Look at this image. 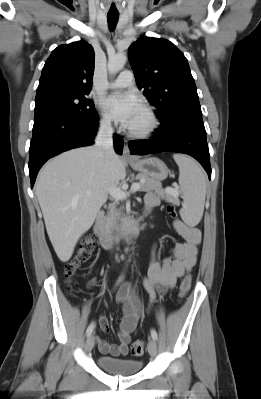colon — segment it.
<instances>
[{"instance_id":"colon-1","label":"colon","mask_w":261,"mask_h":399,"mask_svg":"<svg viewBox=\"0 0 261 399\" xmlns=\"http://www.w3.org/2000/svg\"><path fill=\"white\" fill-rule=\"evenodd\" d=\"M166 210L170 217L175 218L177 216V212L174 206L168 205ZM94 250H95V238L93 236H89L83 241L75 257L66 265L65 267L66 277L67 278L73 277L75 273L78 271V269L91 259ZM191 283H192V278L188 274L183 278L179 287V296L181 298L188 293L191 287ZM144 350H145V343L142 340H137L133 342L131 345V353L135 356L142 355L144 353Z\"/></svg>"}]
</instances>
